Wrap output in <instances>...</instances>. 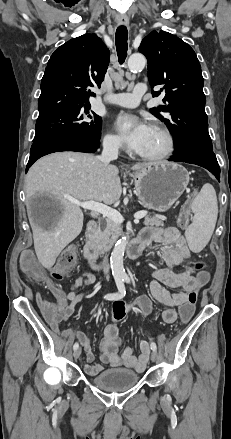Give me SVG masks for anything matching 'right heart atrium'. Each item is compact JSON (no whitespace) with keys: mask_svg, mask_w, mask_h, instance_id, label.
<instances>
[{"mask_svg":"<svg viewBox=\"0 0 231 439\" xmlns=\"http://www.w3.org/2000/svg\"><path fill=\"white\" fill-rule=\"evenodd\" d=\"M104 146L110 150H119L122 147V143L118 136L112 133H107L103 140Z\"/></svg>","mask_w":231,"mask_h":439,"instance_id":"right-heart-atrium-1","label":"right heart atrium"}]
</instances>
